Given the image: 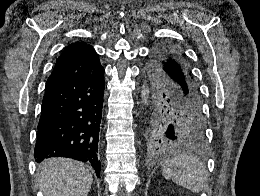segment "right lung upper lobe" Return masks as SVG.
<instances>
[{"mask_svg": "<svg viewBox=\"0 0 260 196\" xmlns=\"http://www.w3.org/2000/svg\"><path fill=\"white\" fill-rule=\"evenodd\" d=\"M104 71L94 48L82 41L68 45L56 61L46 91L68 82L93 77Z\"/></svg>", "mask_w": 260, "mask_h": 196, "instance_id": "right-lung-upper-lobe-1", "label": "right lung upper lobe"}]
</instances>
